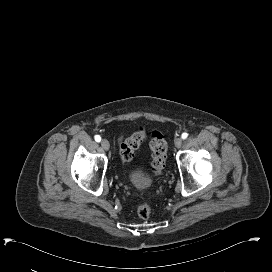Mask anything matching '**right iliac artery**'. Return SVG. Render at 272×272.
Here are the masks:
<instances>
[{"mask_svg": "<svg viewBox=\"0 0 272 272\" xmlns=\"http://www.w3.org/2000/svg\"><path fill=\"white\" fill-rule=\"evenodd\" d=\"M95 141H96V142H100V141H101V137H100L99 135H96V136H95Z\"/></svg>", "mask_w": 272, "mask_h": 272, "instance_id": "82829eb1", "label": "right iliac artery"}]
</instances>
